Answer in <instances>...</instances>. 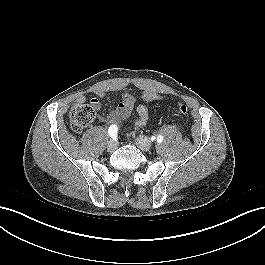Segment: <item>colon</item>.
<instances>
[{
  "label": "colon",
  "instance_id": "5ec220e1",
  "mask_svg": "<svg viewBox=\"0 0 265 265\" xmlns=\"http://www.w3.org/2000/svg\"><path fill=\"white\" fill-rule=\"evenodd\" d=\"M159 96L153 91H146L142 95V99L146 102L158 100ZM96 105L91 101L90 103H80L72 107L69 117L71 128L74 132H81L94 119L96 115ZM178 110L181 114H186L188 108L185 104L179 103Z\"/></svg>",
  "mask_w": 265,
  "mask_h": 265
}]
</instances>
